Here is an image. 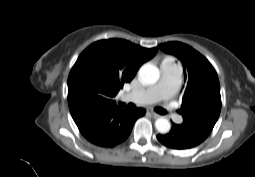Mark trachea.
Here are the masks:
<instances>
[{"label":"trachea","mask_w":255,"mask_h":177,"mask_svg":"<svg viewBox=\"0 0 255 177\" xmlns=\"http://www.w3.org/2000/svg\"><path fill=\"white\" fill-rule=\"evenodd\" d=\"M155 111H156L157 113H159V114H166V113H167V111L164 110V109L161 108V107H156V108H155Z\"/></svg>","instance_id":"1"}]
</instances>
